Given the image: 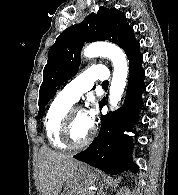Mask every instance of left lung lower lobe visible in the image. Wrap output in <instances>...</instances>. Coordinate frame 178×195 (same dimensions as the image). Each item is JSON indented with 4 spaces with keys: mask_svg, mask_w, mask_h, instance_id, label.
<instances>
[{
    "mask_svg": "<svg viewBox=\"0 0 178 195\" xmlns=\"http://www.w3.org/2000/svg\"><path fill=\"white\" fill-rule=\"evenodd\" d=\"M142 59L143 56L138 54L129 60V81L123 108L102 117L98 136L85 151L75 155V159L110 174H118L124 170L134 173L138 171V167L130 159L131 138L124 135V131H129L138 120L137 111L142 105L141 94L145 90ZM105 104L106 99L103 98L100 108Z\"/></svg>",
    "mask_w": 178,
    "mask_h": 195,
    "instance_id": "obj_1",
    "label": "left lung lower lobe"
}]
</instances>
